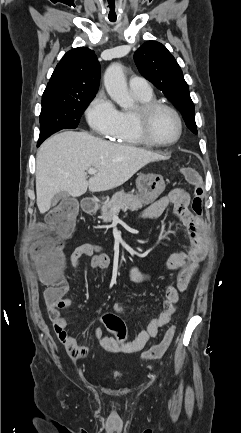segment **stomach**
Wrapping results in <instances>:
<instances>
[{"label":"stomach","instance_id":"stomach-1","mask_svg":"<svg viewBox=\"0 0 241 433\" xmlns=\"http://www.w3.org/2000/svg\"><path fill=\"white\" fill-rule=\"evenodd\" d=\"M140 197L148 203L156 200L165 190L166 184L163 176L159 174H140L136 180Z\"/></svg>","mask_w":241,"mask_h":433}]
</instances>
